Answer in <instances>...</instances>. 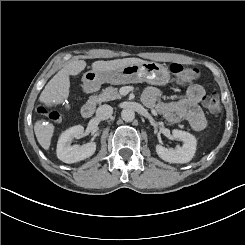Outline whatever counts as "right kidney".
<instances>
[{
	"instance_id": "right-kidney-1",
	"label": "right kidney",
	"mask_w": 245,
	"mask_h": 245,
	"mask_svg": "<svg viewBox=\"0 0 245 245\" xmlns=\"http://www.w3.org/2000/svg\"><path fill=\"white\" fill-rule=\"evenodd\" d=\"M84 127L81 125L73 126L64 131L58 139L57 157L64 163H75L92 156L96 150L94 142L86 143L82 146L71 145L74 138L82 137Z\"/></svg>"
}]
</instances>
